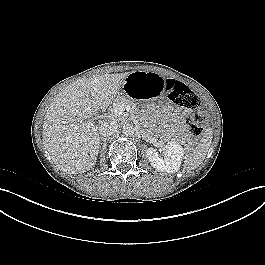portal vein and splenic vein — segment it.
<instances>
[{"label": "portal vein and splenic vein", "mask_w": 265, "mask_h": 265, "mask_svg": "<svg viewBox=\"0 0 265 265\" xmlns=\"http://www.w3.org/2000/svg\"><path fill=\"white\" fill-rule=\"evenodd\" d=\"M127 110L128 112H132V109L130 106H125L123 104H120V105H117L115 108H114V114L117 116V115H121L124 113V111Z\"/></svg>", "instance_id": "1"}]
</instances>
